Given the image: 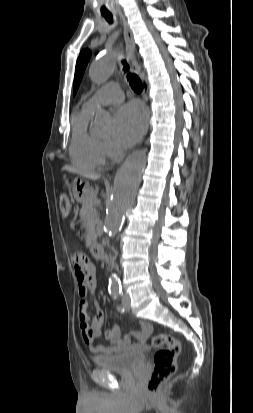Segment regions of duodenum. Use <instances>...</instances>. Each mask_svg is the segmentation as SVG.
<instances>
[{"label": "duodenum", "instance_id": "duodenum-1", "mask_svg": "<svg viewBox=\"0 0 253 413\" xmlns=\"http://www.w3.org/2000/svg\"><path fill=\"white\" fill-rule=\"evenodd\" d=\"M90 251H91V254H92L96 259L101 260V259H103L104 256H105L104 249H103V247H102L101 245H99V244H96V245L91 246Z\"/></svg>", "mask_w": 253, "mask_h": 413}]
</instances>
